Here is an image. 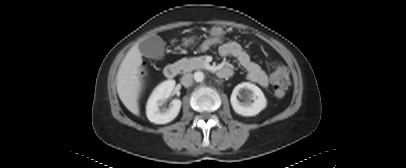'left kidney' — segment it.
<instances>
[{
	"label": "left kidney",
	"mask_w": 406,
	"mask_h": 168,
	"mask_svg": "<svg viewBox=\"0 0 406 168\" xmlns=\"http://www.w3.org/2000/svg\"><path fill=\"white\" fill-rule=\"evenodd\" d=\"M243 89L244 91L242 92ZM237 96H243L246 101L240 102ZM230 102L233 110L242 116H255L267 106V100L262 90L250 82H243L235 86Z\"/></svg>",
	"instance_id": "5707ae66"
}]
</instances>
